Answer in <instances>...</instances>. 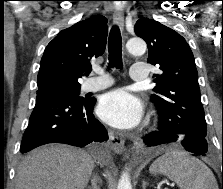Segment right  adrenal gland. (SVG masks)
Wrapping results in <instances>:
<instances>
[{
  "mask_svg": "<svg viewBox=\"0 0 223 189\" xmlns=\"http://www.w3.org/2000/svg\"><path fill=\"white\" fill-rule=\"evenodd\" d=\"M98 184H101V180L97 175L93 174L91 178V186H88L86 189H100Z\"/></svg>",
  "mask_w": 223,
  "mask_h": 189,
  "instance_id": "1",
  "label": "right adrenal gland"
}]
</instances>
